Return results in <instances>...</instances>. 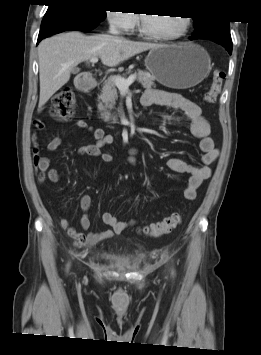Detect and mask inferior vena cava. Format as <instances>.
Instances as JSON below:
<instances>
[{
    "label": "inferior vena cava",
    "mask_w": 261,
    "mask_h": 355,
    "mask_svg": "<svg viewBox=\"0 0 261 355\" xmlns=\"http://www.w3.org/2000/svg\"><path fill=\"white\" fill-rule=\"evenodd\" d=\"M109 33L114 35V36H118L120 34V32L118 31L117 27L113 24L110 25V28H109Z\"/></svg>",
    "instance_id": "1"
}]
</instances>
